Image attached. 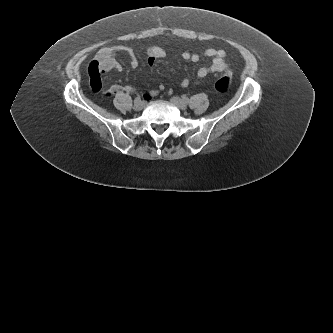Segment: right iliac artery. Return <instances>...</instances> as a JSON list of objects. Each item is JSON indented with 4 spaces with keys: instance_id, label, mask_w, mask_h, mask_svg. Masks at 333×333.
<instances>
[{
    "instance_id": "obj_1",
    "label": "right iliac artery",
    "mask_w": 333,
    "mask_h": 333,
    "mask_svg": "<svg viewBox=\"0 0 333 333\" xmlns=\"http://www.w3.org/2000/svg\"><path fill=\"white\" fill-rule=\"evenodd\" d=\"M141 100V97L140 96H137L136 98H135V101H140Z\"/></svg>"
}]
</instances>
